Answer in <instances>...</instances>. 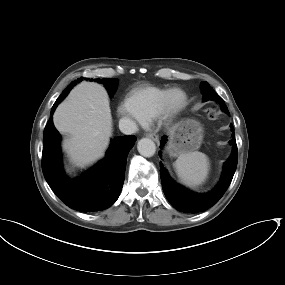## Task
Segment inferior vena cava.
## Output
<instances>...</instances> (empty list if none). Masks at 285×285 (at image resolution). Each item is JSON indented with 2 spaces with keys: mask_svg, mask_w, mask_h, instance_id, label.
Segmentation results:
<instances>
[{
  "mask_svg": "<svg viewBox=\"0 0 285 285\" xmlns=\"http://www.w3.org/2000/svg\"><path fill=\"white\" fill-rule=\"evenodd\" d=\"M119 129L126 135L134 134L138 131L136 123L130 118L124 117L119 121Z\"/></svg>",
  "mask_w": 285,
  "mask_h": 285,
  "instance_id": "1",
  "label": "inferior vena cava"
}]
</instances>
